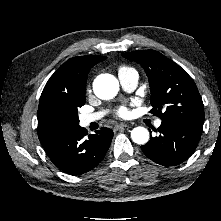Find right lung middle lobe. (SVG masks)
<instances>
[{
  "label": "right lung middle lobe",
  "instance_id": "dd1d6c3e",
  "mask_svg": "<svg viewBox=\"0 0 221 221\" xmlns=\"http://www.w3.org/2000/svg\"><path fill=\"white\" fill-rule=\"evenodd\" d=\"M85 101L55 104L50 112L52 120L67 129L76 130L79 127L78 108L84 105Z\"/></svg>",
  "mask_w": 221,
  "mask_h": 221
}]
</instances>
